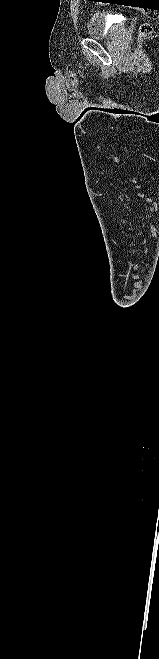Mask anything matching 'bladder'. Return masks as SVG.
Segmentation results:
<instances>
[{
  "mask_svg": "<svg viewBox=\"0 0 159 659\" xmlns=\"http://www.w3.org/2000/svg\"><path fill=\"white\" fill-rule=\"evenodd\" d=\"M117 25L108 22L102 13L92 14L86 23V35L90 39H108L116 35Z\"/></svg>",
  "mask_w": 159,
  "mask_h": 659,
  "instance_id": "31cf9c89",
  "label": "bladder"
}]
</instances>
